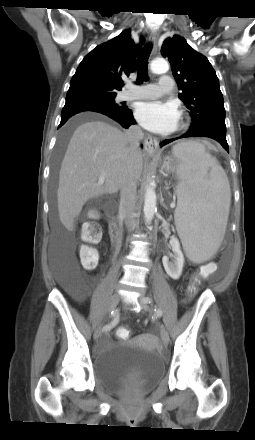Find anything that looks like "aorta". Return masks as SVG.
I'll return each instance as SVG.
<instances>
[{
	"instance_id": "1",
	"label": "aorta",
	"mask_w": 255,
	"mask_h": 440,
	"mask_svg": "<svg viewBox=\"0 0 255 440\" xmlns=\"http://www.w3.org/2000/svg\"><path fill=\"white\" fill-rule=\"evenodd\" d=\"M151 71L155 74H163L169 70L168 62L163 59H155L150 65ZM157 197L155 190L151 186L146 187L145 198H144V216L146 223L150 224L154 218L156 211Z\"/></svg>"
}]
</instances>
